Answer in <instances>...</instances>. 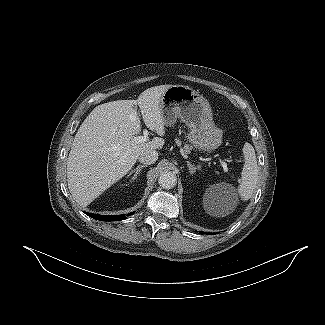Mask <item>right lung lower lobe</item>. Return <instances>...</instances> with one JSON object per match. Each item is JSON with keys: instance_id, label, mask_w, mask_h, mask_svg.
I'll use <instances>...</instances> for the list:
<instances>
[{"instance_id": "obj_1", "label": "right lung lower lobe", "mask_w": 325, "mask_h": 325, "mask_svg": "<svg viewBox=\"0 0 325 325\" xmlns=\"http://www.w3.org/2000/svg\"><path fill=\"white\" fill-rule=\"evenodd\" d=\"M88 216L97 219V220H101V221H119V220H124L126 219L127 216L132 215L133 213H129L127 215L123 214V215H97V214H91V213H86Z\"/></svg>"}]
</instances>
